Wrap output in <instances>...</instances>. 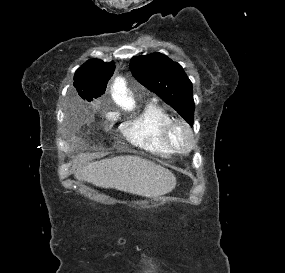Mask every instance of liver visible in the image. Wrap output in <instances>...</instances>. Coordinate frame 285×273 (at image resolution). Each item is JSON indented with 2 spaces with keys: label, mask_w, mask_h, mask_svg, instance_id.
Returning <instances> with one entry per match:
<instances>
[{
  "label": "liver",
  "mask_w": 285,
  "mask_h": 273,
  "mask_svg": "<svg viewBox=\"0 0 285 273\" xmlns=\"http://www.w3.org/2000/svg\"><path fill=\"white\" fill-rule=\"evenodd\" d=\"M74 177L101 188L158 197L170 193L176 178L168 169L139 156H117L80 166Z\"/></svg>",
  "instance_id": "6515ba94"
}]
</instances>
